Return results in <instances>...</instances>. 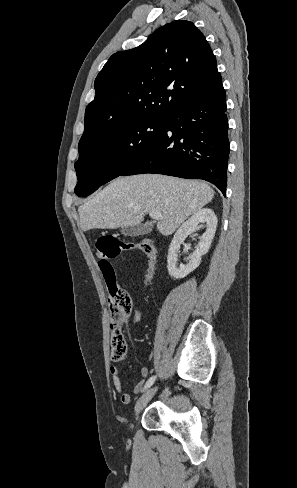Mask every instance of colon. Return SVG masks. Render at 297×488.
Returning a JSON list of instances; mask_svg holds the SVG:
<instances>
[{
    "label": "colon",
    "mask_w": 297,
    "mask_h": 488,
    "mask_svg": "<svg viewBox=\"0 0 297 488\" xmlns=\"http://www.w3.org/2000/svg\"><path fill=\"white\" fill-rule=\"evenodd\" d=\"M96 248L100 255L99 268L106 281L109 292V308L111 312V355L115 361H121L127 353V344L122 331L123 319L131 312L132 302L129 293L120 288L116 280V272L111 259L117 258L121 252L132 249L142 250L149 259L148 282L155 273L157 251L155 247L146 241L128 243L113 235L105 234L96 241Z\"/></svg>",
    "instance_id": "colon-1"
}]
</instances>
